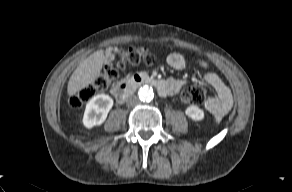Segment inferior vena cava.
Returning <instances> with one entry per match:
<instances>
[{
    "instance_id": "inferior-vena-cava-1",
    "label": "inferior vena cava",
    "mask_w": 292,
    "mask_h": 192,
    "mask_svg": "<svg viewBox=\"0 0 292 192\" xmlns=\"http://www.w3.org/2000/svg\"><path fill=\"white\" fill-rule=\"evenodd\" d=\"M139 103H140V100H139V98L136 97V96H129V97L127 98V100H126V104H127V106H131V107L136 106V105H138Z\"/></svg>"
}]
</instances>
